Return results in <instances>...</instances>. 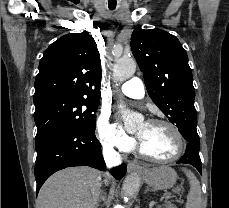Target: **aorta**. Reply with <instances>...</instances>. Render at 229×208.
I'll list each match as a JSON object with an SVG mask.
<instances>
[{
  "label": "aorta",
  "mask_w": 229,
  "mask_h": 208,
  "mask_svg": "<svg viewBox=\"0 0 229 208\" xmlns=\"http://www.w3.org/2000/svg\"><path fill=\"white\" fill-rule=\"evenodd\" d=\"M136 71V62L133 59H120L113 68V78L116 81H124L130 78ZM119 109L123 114V120L126 127H134L142 116L138 113L132 112L125 108L123 104H120ZM141 179L138 174L132 173L124 180L122 189L126 199L133 197L139 190Z\"/></svg>",
  "instance_id": "obj_1"
}]
</instances>
